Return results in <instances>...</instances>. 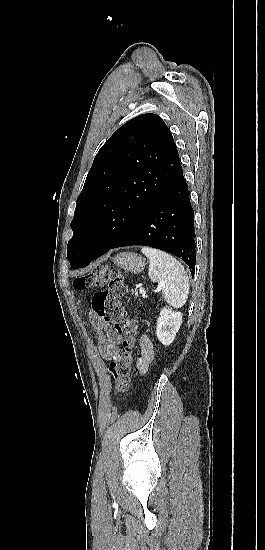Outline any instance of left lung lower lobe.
<instances>
[{
    "mask_svg": "<svg viewBox=\"0 0 265 550\" xmlns=\"http://www.w3.org/2000/svg\"><path fill=\"white\" fill-rule=\"evenodd\" d=\"M130 245L150 246L174 254L189 266L194 275L196 264L194 213L182 167L107 250L87 256L78 268L89 265L110 249Z\"/></svg>",
    "mask_w": 265,
    "mask_h": 550,
    "instance_id": "obj_1",
    "label": "left lung lower lobe"
}]
</instances>
